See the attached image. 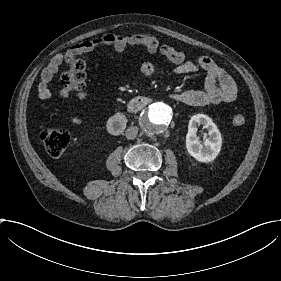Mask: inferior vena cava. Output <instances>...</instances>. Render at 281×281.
Here are the masks:
<instances>
[{
	"label": "inferior vena cava",
	"mask_w": 281,
	"mask_h": 281,
	"mask_svg": "<svg viewBox=\"0 0 281 281\" xmlns=\"http://www.w3.org/2000/svg\"><path fill=\"white\" fill-rule=\"evenodd\" d=\"M138 130L139 128L137 126H130L127 130H126V137L128 139H134L137 137L138 134Z\"/></svg>",
	"instance_id": "obj_1"
}]
</instances>
